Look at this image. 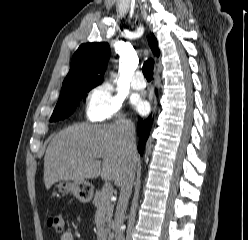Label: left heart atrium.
Masks as SVG:
<instances>
[{"instance_id":"obj_1","label":"left heart atrium","mask_w":248,"mask_h":240,"mask_svg":"<svg viewBox=\"0 0 248 240\" xmlns=\"http://www.w3.org/2000/svg\"><path fill=\"white\" fill-rule=\"evenodd\" d=\"M145 104L142 101H137L136 102V108L138 110H142L144 108Z\"/></svg>"}]
</instances>
